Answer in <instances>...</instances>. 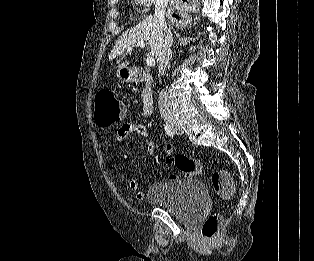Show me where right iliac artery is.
Wrapping results in <instances>:
<instances>
[{"instance_id":"82829eb1","label":"right iliac artery","mask_w":314,"mask_h":261,"mask_svg":"<svg viewBox=\"0 0 314 261\" xmlns=\"http://www.w3.org/2000/svg\"><path fill=\"white\" fill-rule=\"evenodd\" d=\"M164 129H165V132H166L167 135L173 137L174 133L172 132V130H171V128H170V126L168 124L165 125Z\"/></svg>"}]
</instances>
